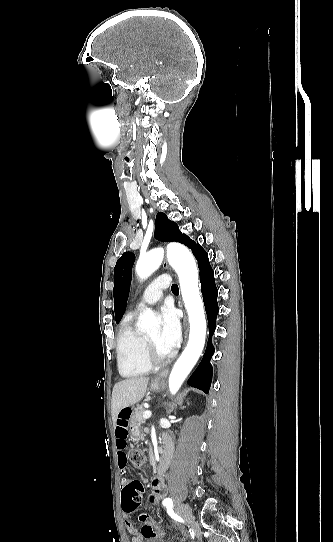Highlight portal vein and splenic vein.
<instances>
[{"mask_svg":"<svg viewBox=\"0 0 333 542\" xmlns=\"http://www.w3.org/2000/svg\"><path fill=\"white\" fill-rule=\"evenodd\" d=\"M152 416V412H143V418H145V420H147V418H151Z\"/></svg>","mask_w":333,"mask_h":542,"instance_id":"18ae733b","label":"portal vein and splenic vein"}]
</instances>
